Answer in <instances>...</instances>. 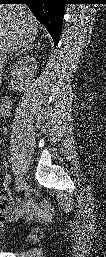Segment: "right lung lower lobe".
I'll return each mask as SVG.
<instances>
[{
    "label": "right lung lower lobe",
    "mask_w": 106,
    "mask_h": 257,
    "mask_svg": "<svg viewBox=\"0 0 106 257\" xmlns=\"http://www.w3.org/2000/svg\"><path fill=\"white\" fill-rule=\"evenodd\" d=\"M1 4H27L48 30L56 46L60 39L65 0H0Z\"/></svg>",
    "instance_id": "1"
}]
</instances>
